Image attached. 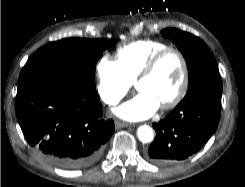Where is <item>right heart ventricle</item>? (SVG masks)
Instances as JSON below:
<instances>
[{"label": "right heart ventricle", "mask_w": 245, "mask_h": 187, "mask_svg": "<svg viewBox=\"0 0 245 187\" xmlns=\"http://www.w3.org/2000/svg\"><path fill=\"white\" fill-rule=\"evenodd\" d=\"M169 47L158 40H136L119 46L116 62L130 83H134L146 62L158 51Z\"/></svg>", "instance_id": "obj_1"}]
</instances>
